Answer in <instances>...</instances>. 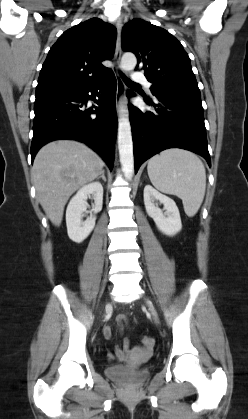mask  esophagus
<instances>
[{
	"label": "esophagus",
	"mask_w": 248,
	"mask_h": 419,
	"mask_svg": "<svg viewBox=\"0 0 248 419\" xmlns=\"http://www.w3.org/2000/svg\"><path fill=\"white\" fill-rule=\"evenodd\" d=\"M115 26L117 30V37H116V47H115V56H114V63L115 66L113 68V71L115 73L116 82H117V90H116V106L119 108L121 103L124 100L125 96V90L126 86L123 82V79L121 77V66H120V60H121V54H122V20L121 18H117L115 20Z\"/></svg>",
	"instance_id": "esophagus-1"
}]
</instances>
